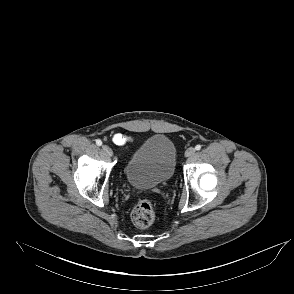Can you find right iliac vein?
Listing matches in <instances>:
<instances>
[{"label": "right iliac vein", "mask_w": 294, "mask_h": 294, "mask_svg": "<svg viewBox=\"0 0 294 294\" xmlns=\"http://www.w3.org/2000/svg\"><path fill=\"white\" fill-rule=\"evenodd\" d=\"M102 149H103L104 152H106L110 157L113 156V152H112V150H111V148H110L109 146H107V145H103V146H102Z\"/></svg>", "instance_id": "1"}]
</instances>
